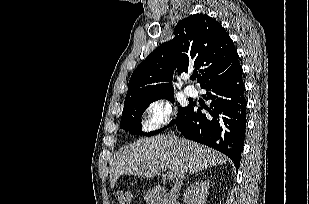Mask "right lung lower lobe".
<instances>
[{
    "mask_svg": "<svg viewBox=\"0 0 309 204\" xmlns=\"http://www.w3.org/2000/svg\"><path fill=\"white\" fill-rule=\"evenodd\" d=\"M240 64L230 73L212 79L201 88L208 92L209 114H203L196 104L177 124L178 131L187 139L202 143L228 156L239 167L246 131L245 85Z\"/></svg>",
    "mask_w": 309,
    "mask_h": 204,
    "instance_id": "obj_1",
    "label": "right lung lower lobe"
}]
</instances>
